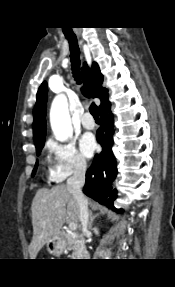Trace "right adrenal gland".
<instances>
[{"label": "right adrenal gland", "instance_id": "right-adrenal-gland-1", "mask_svg": "<svg viewBox=\"0 0 175 287\" xmlns=\"http://www.w3.org/2000/svg\"><path fill=\"white\" fill-rule=\"evenodd\" d=\"M96 217H97V215H93L92 212L90 211V221H89V225H88V228L90 230L92 229V223Z\"/></svg>", "mask_w": 175, "mask_h": 287}]
</instances>
